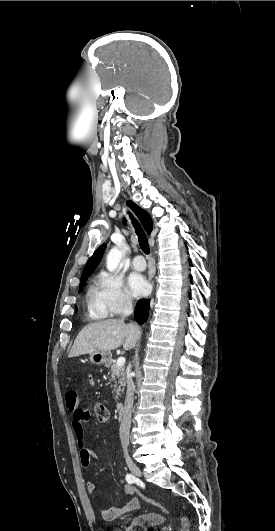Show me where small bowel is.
<instances>
[{"mask_svg": "<svg viewBox=\"0 0 275 531\" xmlns=\"http://www.w3.org/2000/svg\"><path fill=\"white\" fill-rule=\"evenodd\" d=\"M84 380L86 383L91 384L94 382L95 377L93 374L88 373L85 375ZM77 401L73 396L68 397L67 407L72 411V430L78 441L80 447V460L84 468H87L91 464L92 459H97L98 455L94 450H91L85 445V425L90 419V413L86 409L77 408ZM86 490L89 494H94L97 490V485L94 482L86 483ZM137 493L136 489L130 485L124 487V495L129 499L116 507L111 509H100V515L103 520L109 521L116 517H119L127 512L136 510L140 507V500L134 495Z\"/></svg>", "mask_w": 275, "mask_h": 531, "instance_id": "obj_1", "label": "small bowel"}]
</instances>
